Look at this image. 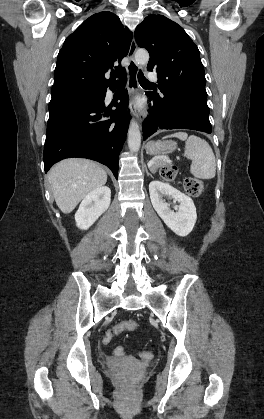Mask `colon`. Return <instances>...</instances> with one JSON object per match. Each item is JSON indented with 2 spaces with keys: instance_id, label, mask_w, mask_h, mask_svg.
Listing matches in <instances>:
<instances>
[{
  "instance_id": "colon-1",
  "label": "colon",
  "mask_w": 264,
  "mask_h": 419,
  "mask_svg": "<svg viewBox=\"0 0 264 419\" xmlns=\"http://www.w3.org/2000/svg\"><path fill=\"white\" fill-rule=\"evenodd\" d=\"M176 174H177V168L172 165L165 166L160 171L161 177L166 181L174 180L176 177ZM204 186L205 185L203 181L197 180L194 178H187L184 181L185 191L189 193L190 195H198L199 193L203 191ZM137 326H138L137 323L133 320L124 321L120 324L121 331L123 330L133 331L137 328ZM114 334H115L114 331H108L104 336V342L106 344L110 343ZM140 355L144 360H150L153 357L152 353L149 351L141 352Z\"/></svg>"
}]
</instances>
